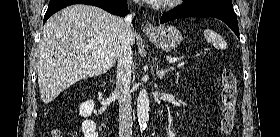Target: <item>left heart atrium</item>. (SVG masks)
Masks as SVG:
<instances>
[{
	"label": "left heart atrium",
	"mask_w": 280,
	"mask_h": 137,
	"mask_svg": "<svg viewBox=\"0 0 280 137\" xmlns=\"http://www.w3.org/2000/svg\"><path fill=\"white\" fill-rule=\"evenodd\" d=\"M169 0H149V2L153 5H159L163 3H167Z\"/></svg>",
	"instance_id": "1"
}]
</instances>
